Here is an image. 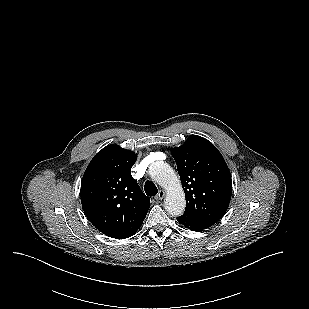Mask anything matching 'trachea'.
<instances>
[{"label":"trachea","mask_w":309,"mask_h":309,"mask_svg":"<svg viewBox=\"0 0 309 309\" xmlns=\"http://www.w3.org/2000/svg\"><path fill=\"white\" fill-rule=\"evenodd\" d=\"M144 190L148 196H155L158 192L156 185L152 181H147L145 183Z\"/></svg>","instance_id":"1"}]
</instances>
